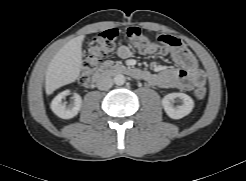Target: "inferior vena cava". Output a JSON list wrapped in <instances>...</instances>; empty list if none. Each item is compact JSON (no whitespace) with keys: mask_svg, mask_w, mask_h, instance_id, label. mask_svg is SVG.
I'll list each match as a JSON object with an SVG mask.
<instances>
[{"mask_svg":"<svg viewBox=\"0 0 246 181\" xmlns=\"http://www.w3.org/2000/svg\"><path fill=\"white\" fill-rule=\"evenodd\" d=\"M99 90H108L113 85V79L108 75H101L96 82Z\"/></svg>","mask_w":246,"mask_h":181,"instance_id":"1","label":"inferior vena cava"}]
</instances>
